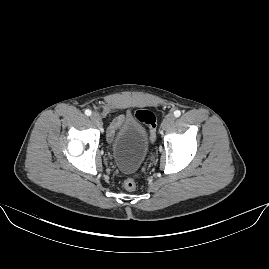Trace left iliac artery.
Instances as JSON below:
<instances>
[{"instance_id": "obj_1", "label": "left iliac artery", "mask_w": 269, "mask_h": 269, "mask_svg": "<svg viewBox=\"0 0 269 269\" xmlns=\"http://www.w3.org/2000/svg\"><path fill=\"white\" fill-rule=\"evenodd\" d=\"M175 117H179L181 115V112L179 110H176L174 112Z\"/></svg>"}]
</instances>
